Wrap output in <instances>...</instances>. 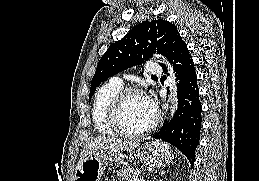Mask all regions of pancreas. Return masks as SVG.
I'll use <instances>...</instances> for the list:
<instances>
[{
	"label": "pancreas",
	"instance_id": "pancreas-1",
	"mask_svg": "<svg viewBox=\"0 0 259 181\" xmlns=\"http://www.w3.org/2000/svg\"><path fill=\"white\" fill-rule=\"evenodd\" d=\"M139 174H140V170L133 169V168H124V169L118 170L116 172V175L123 181H125V180L130 181V180H128L129 178L136 177Z\"/></svg>",
	"mask_w": 259,
	"mask_h": 181
}]
</instances>
